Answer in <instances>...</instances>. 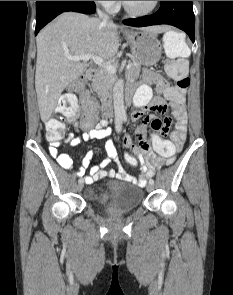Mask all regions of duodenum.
<instances>
[{
	"mask_svg": "<svg viewBox=\"0 0 233 295\" xmlns=\"http://www.w3.org/2000/svg\"><path fill=\"white\" fill-rule=\"evenodd\" d=\"M96 76V70L95 69H89L86 73V77L88 79H93ZM133 95V89L131 87L127 88L126 96L128 99H130ZM102 115L106 118L110 117L112 115V108L110 105V102L105 99L102 103Z\"/></svg>",
	"mask_w": 233,
	"mask_h": 295,
	"instance_id": "obj_1",
	"label": "duodenum"
}]
</instances>
